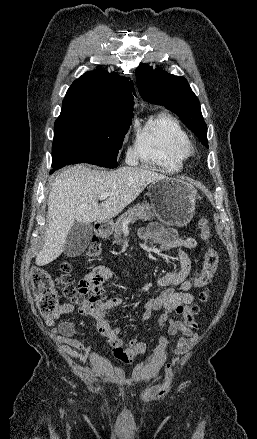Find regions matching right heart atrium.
I'll use <instances>...</instances> for the list:
<instances>
[{
    "mask_svg": "<svg viewBox=\"0 0 257 439\" xmlns=\"http://www.w3.org/2000/svg\"><path fill=\"white\" fill-rule=\"evenodd\" d=\"M126 158L129 161H133L136 159V153L135 150L133 148H129L126 152Z\"/></svg>",
    "mask_w": 257,
    "mask_h": 439,
    "instance_id": "right-heart-atrium-1",
    "label": "right heart atrium"
}]
</instances>
